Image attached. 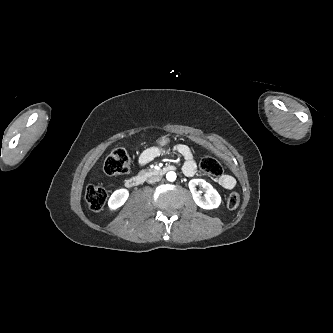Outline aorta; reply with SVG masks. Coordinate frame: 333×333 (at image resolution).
<instances>
[{
    "instance_id": "obj_1",
    "label": "aorta",
    "mask_w": 333,
    "mask_h": 333,
    "mask_svg": "<svg viewBox=\"0 0 333 333\" xmlns=\"http://www.w3.org/2000/svg\"><path fill=\"white\" fill-rule=\"evenodd\" d=\"M176 173L174 171H170L166 174V179L170 182H173L176 180Z\"/></svg>"
}]
</instances>
